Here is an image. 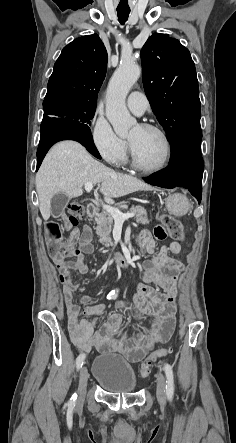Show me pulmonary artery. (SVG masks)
I'll list each match as a JSON object with an SVG mask.
<instances>
[{
  "label": "pulmonary artery",
  "instance_id": "obj_1",
  "mask_svg": "<svg viewBox=\"0 0 236 443\" xmlns=\"http://www.w3.org/2000/svg\"><path fill=\"white\" fill-rule=\"evenodd\" d=\"M128 108L136 115H142L149 107L146 96L138 91L131 92L127 98Z\"/></svg>",
  "mask_w": 236,
  "mask_h": 443
}]
</instances>
